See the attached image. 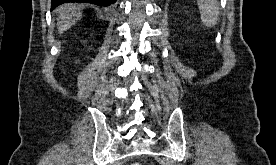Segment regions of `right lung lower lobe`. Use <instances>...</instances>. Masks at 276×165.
Listing matches in <instances>:
<instances>
[{"instance_id":"1","label":"right lung lower lobe","mask_w":276,"mask_h":165,"mask_svg":"<svg viewBox=\"0 0 276 165\" xmlns=\"http://www.w3.org/2000/svg\"><path fill=\"white\" fill-rule=\"evenodd\" d=\"M68 2H88L100 6H109L116 2V0H52L51 9L53 10L58 5Z\"/></svg>"}]
</instances>
